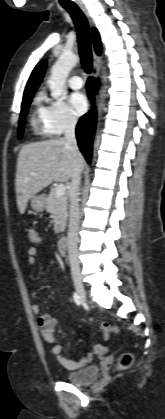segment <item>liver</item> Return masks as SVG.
I'll list each match as a JSON object with an SVG mask.
<instances>
[{
	"label": "liver",
	"mask_w": 165,
	"mask_h": 419,
	"mask_svg": "<svg viewBox=\"0 0 165 419\" xmlns=\"http://www.w3.org/2000/svg\"><path fill=\"white\" fill-rule=\"evenodd\" d=\"M78 163L84 166L82 155ZM73 172L72 154L64 138L24 145L18 156L15 188L19 212L35 194L53 181L67 182Z\"/></svg>",
	"instance_id": "liver-1"
}]
</instances>
